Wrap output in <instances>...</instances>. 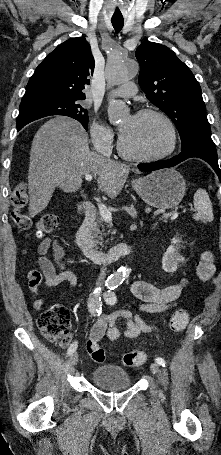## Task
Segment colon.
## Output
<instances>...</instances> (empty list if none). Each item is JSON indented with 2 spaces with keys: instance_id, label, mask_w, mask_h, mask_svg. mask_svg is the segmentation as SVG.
<instances>
[{
  "instance_id": "1",
  "label": "colon",
  "mask_w": 221,
  "mask_h": 455,
  "mask_svg": "<svg viewBox=\"0 0 221 455\" xmlns=\"http://www.w3.org/2000/svg\"><path fill=\"white\" fill-rule=\"evenodd\" d=\"M11 217L18 228L22 231L29 232L34 228L32 238L37 239L46 234L52 233L59 222L58 216L54 213H46L38 217L33 222L32 218L22 211L27 202V185L19 182L14 187L11 196ZM214 257L211 252L204 251L196 266V275L200 282L206 283L211 280L214 274ZM188 322L186 311L177 310L169 321V327L173 332L182 331ZM38 328L43 336L47 339L64 343L69 339L71 322L67 308L62 304H53L47 308L38 318ZM87 351L96 363H102L105 360V352L98 345L97 341L89 339L87 342ZM147 356L142 351H131L124 355L123 362L128 367H137L143 365Z\"/></svg>"
}]
</instances>
